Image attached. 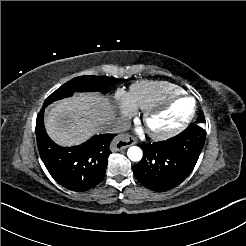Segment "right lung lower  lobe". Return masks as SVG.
<instances>
[{
  "mask_svg": "<svg viewBox=\"0 0 246 246\" xmlns=\"http://www.w3.org/2000/svg\"><path fill=\"white\" fill-rule=\"evenodd\" d=\"M44 109L37 115L36 135L39 153L47 170L69 190L83 192L93 188L105 175L111 154L109 144L116 134L96 135L82 145L61 147L45 131Z\"/></svg>",
  "mask_w": 246,
  "mask_h": 246,
  "instance_id": "right-lung-lower-lobe-1",
  "label": "right lung lower lobe"
}]
</instances>
